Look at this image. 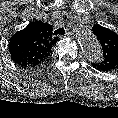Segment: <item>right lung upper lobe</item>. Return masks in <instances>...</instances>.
Instances as JSON below:
<instances>
[{
    "label": "right lung upper lobe",
    "instance_id": "1",
    "mask_svg": "<svg viewBox=\"0 0 118 118\" xmlns=\"http://www.w3.org/2000/svg\"><path fill=\"white\" fill-rule=\"evenodd\" d=\"M52 26L41 21L31 22L16 32L9 41L12 60L21 66H36L46 59L58 38L52 36Z\"/></svg>",
    "mask_w": 118,
    "mask_h": 118
}]
</instances>
